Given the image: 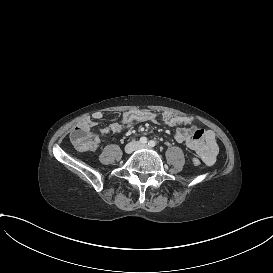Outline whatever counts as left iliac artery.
<instances>
[{
    "label": "left iliac artery",
    "instance_id": "left-iliac-artery-1",
    "mask_svg": "<svg viewBox=\"0 0 273 273\" xmlns=\"http://www.w3.org/2000/svg\"><path fill=\"white\" fill-rule=\"evenodd\" d=\"M148 145L150 147H154L156 145V142L154 140H150L149 143H148Z\"/></svg>",
    "mask_w": 273,
    "mask_h": 273
}]
</instances>
